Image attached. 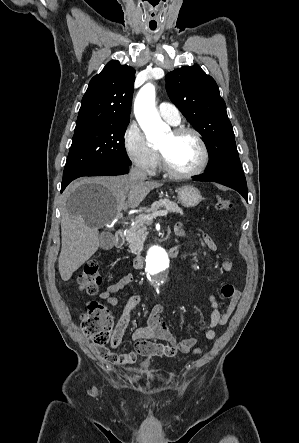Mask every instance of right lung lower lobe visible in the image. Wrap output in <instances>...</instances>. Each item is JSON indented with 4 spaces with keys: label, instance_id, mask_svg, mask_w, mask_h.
<instances>
[{
    "label": "right lung lower lobe",
    "instance_id": "1",
    "mask_svg": "<svg viewBox=\"0 0 299 443\" xmlns=\"http://www.w3.org/2000/svg\"><path fill=\"white\" fill-rule=\"evenodd\" d=\"M129 172L128 165H113L107 166L103 168H99L97 170L91 171L84 176H104V175H123ZM69 183L62 184L61 192L66 188Z\"/></svg>",
    "mask_w": 299,
    "mask_h": 443
}]
</instances>
